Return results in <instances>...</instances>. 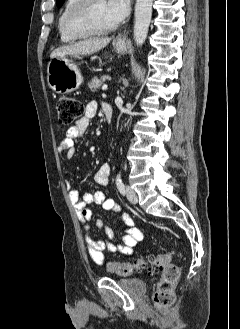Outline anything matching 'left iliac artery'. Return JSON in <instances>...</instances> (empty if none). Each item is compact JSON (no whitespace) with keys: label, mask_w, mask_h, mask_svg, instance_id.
I'll list each match as a JSON object with an SVG mask.
<instances>
[{"label":"left iliac artery","mask_w":240,"mask_h":329,"mask_svg":"<svg viewBox=\"0 0 240 329\" xmlns=\"http://www.w3.org/2000/svg\"><path fill=\"white\" fill-rule=\"evenodd\" d=\"M116 185H117V188L120 191V193L122 195H125V186H124V183H123V180L121 178V174L120 173L117 174V177H116Z\"/></svg>","instance_id":"obj_1"}]
</instances>
